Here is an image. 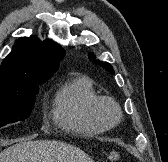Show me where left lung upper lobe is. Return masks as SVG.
Here are the masks:
<instances>
[{
  "instance_id": "left-lung-upper-lobe-1",
  "label": "left lung upper lobe",
  "mask_w": 168,
  "mask_h": 162,
  "mask_svg": "<svg viewBox=\"0 0 168 162\" xmlns=\"http://www.w3.org/2000/svg\"><path fill=\"white\" fill-rule=\"evenodd\" d=\"M89 59L92 62L100 65L101 67H103L106 71L110 72L111 74H114V70H113L112 66L109 63H107V62H102V61L96 60V58L93 55V53L89 54Z\"/></svg>"
}]
</instances>
